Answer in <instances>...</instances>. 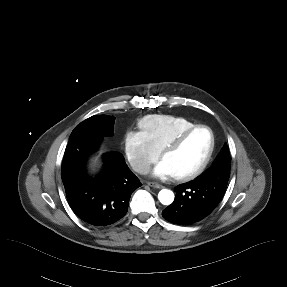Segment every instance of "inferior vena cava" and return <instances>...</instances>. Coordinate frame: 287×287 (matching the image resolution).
I'll return each mask as SVG.
<instances>
[{"mask_svg": "<svg viewBox=\"0 0 287 287\" xmlns=\"http://www.w3.org/2000/svg\"><path fill=\"white\" fill-rule=\"evenodd\" d=\"M134 170L140 174H146L150 171V165L149 164H138Z\"/></svg>", "mask_w": 287, "mask_h": 287, "instance_id": "obj_1", "label": "inferior vena cava"}]
</instances>
